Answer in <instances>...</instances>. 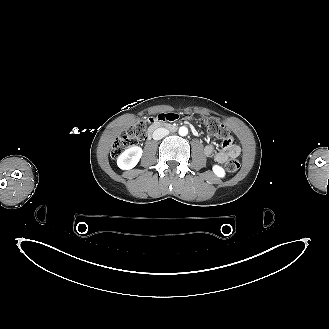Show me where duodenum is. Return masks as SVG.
Segmentation results:
<instances>
[{"mask_svg": "<svg viewBox=\"0 0 329 329\" xmlns=\"http://www.w3.org/2000/svg\"><path fill=\"white\" fill-rule=\"evenodd\" d=\"M159 127H168L170 129H176V127L174 125L170 124V123L163 122L162 120L158 121L157 119H155L153 121V123L151 124L150 128L148 129V132L146 134V138L150 139L153 132Z\"/></svg>", "mask_w": 329, "mask_h": 329, "instance_id": "duodenum-1", "label": "duodenum"}]
</instances>
